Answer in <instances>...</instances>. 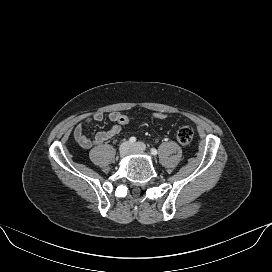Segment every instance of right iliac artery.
Segmentation results:
<instances>
[{"label": "right iliac artery", "instance_id": "obj_1", "mask_svg": "<svg viewBox=\"0 0 272 272\" xmlns=\"http://www.w3.org/2000/svg\"><path fill=\"white\" fill-rule=\"evenodd\" d=\"M129 142L130 143H135L136 142V138L134 136L130 137Z\"/></svg>", "mask_w": 272, "mask_h": 272}]
</instances>
